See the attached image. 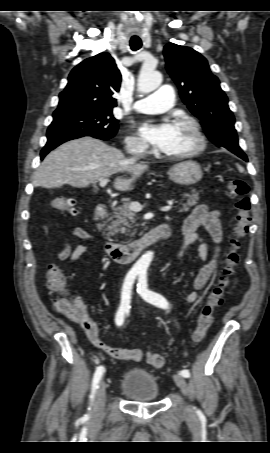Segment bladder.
<instances>
[{
  "label": "bladder",
  "instance_id": "31cf9c89",
  "mask_svg": "<svg viewBox=\"0 0 270 453\" xmlns=\"http://www.w3.org/2000/svg\"><path fill=\"white\" fill-rule=\"evenodd\" d=\"M120 390L135 402H154L159 398L160 389L152 374L144 369L134 368L122 378Z\"/></svg>",
  "mask_w": 270,
  "mask_h": 453
}]
</instances>
